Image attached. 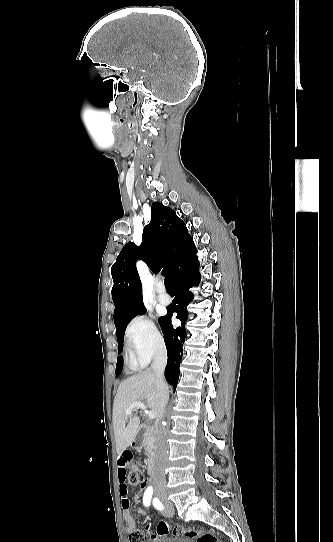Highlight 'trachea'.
I'll list each match as a JSON object with an SVG mask.
<instances>
[{
    "mask_svg": "<svg viewBox=\"0 0 333 542\" xmlns=\"http://www.w3.org/2000/svg\"><path fill=\"white\" fill-rule=\"evenodd\" d=\"M164 284H165V287H166V289H173V287H172V284H171V281H170V278H169V277H166V278L164 279Z\"/></svg>",
    "mask_w": 333,
    "mask_h": 542,
    "instance_id": "obj_1",
    "label": "trachea"
}]
</instances>
